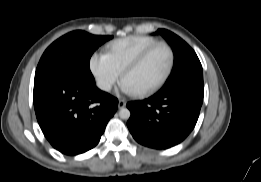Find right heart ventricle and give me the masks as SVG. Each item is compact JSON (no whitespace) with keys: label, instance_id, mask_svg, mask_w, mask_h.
I'll return each instance as SVG.
<instances>
[{"label":"right heart ventricle","instance_id":"obj_1","mask_svg":"<svg viewBox=\"0 0 261 182\" xmlns=\"http://www.w3.org/2000/svg\"><path fill=\"white\" fill-rule=\"evenodd\" d=\"M156 43L158 41L151 37L130 36L110 43L105 54L121 73L138 55Z\"/></svg>","mask_w":261,"mask_h":182}]
</instances>
